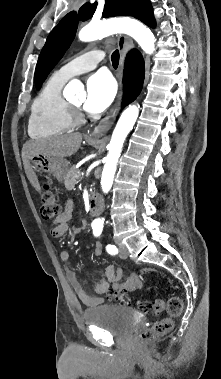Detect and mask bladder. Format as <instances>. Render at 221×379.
<instances>
[{
  "label": "bladder",
  "mask_w": 221,
  "mask_h": 379,
  "mask_svg": "<svg viewBox=\"0 0 221 379\" xmlns=\"http://www.w3.org/2000/svg\"><path fill=\"white\" fill-rule=\"evenodd\" d=\"M83 319L89 325H96L116 336H127L137 326L139 319L131 308L116 304H104L86 309Z\"/></svg>",
  "instance_id": "1"
}]
</instances>
